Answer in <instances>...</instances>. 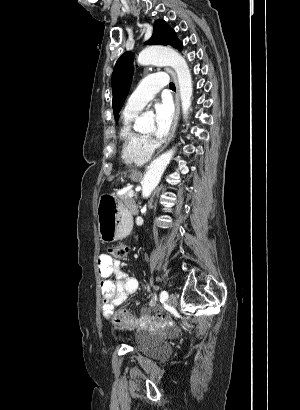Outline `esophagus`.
<instances>
[{"instance_id": "esophagus-1", "label": "esophagus", "mask_w": 300, "mask_h": 410, "mask_svg": "<svg viewBox=\"0 0 300 410\" xmlns=\"http://www.w3.org/2000/svg\"><path fill=\"white\" fill-rule=\"evenodd\" d=\"M167 72L171 75V77L173 78V81L176 85V93H175V115H174V120L172 123V127L170 130V134L165 142V144L163 145V147L161 148L160 152L163 151L167 145L170 143V141L172 140L174 133L176 131L177 128V124H178V119H179V114H180V97H179V85H178V80L176 77V74L173 70L167 68Z\"/></svg>"}]
</instances>
